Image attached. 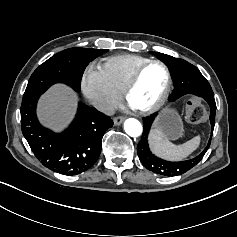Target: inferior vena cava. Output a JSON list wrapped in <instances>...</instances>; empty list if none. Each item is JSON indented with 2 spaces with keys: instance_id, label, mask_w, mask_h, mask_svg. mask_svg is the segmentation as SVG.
<instances>
[{
  "instance_id": "1",
  "label": "inferior vena cava",
  "mask_w": 237,
  "mask_h": 237,
  "mask_svg": "<svg viewBox=\"0 0 237 237\" xmlns=\"http://www.w3.org/2000/svg\"><path fill=\"white\" fill-rule=\"evenodd\" d=\"M93 106L100 112H103L107 115H114L115 111L119 108V104H113L106 100H94Z\"/></svg>"
}]
</instances>
